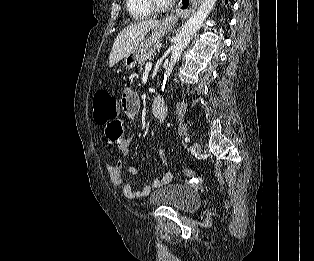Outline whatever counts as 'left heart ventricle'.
Masks as SVG:
<instances>
[{"mask_svg":"<svg viewBox=\"0 0 314 261\" xmlns=\"http://www.w3.org/2000/svg\"><path fill=\"white\" fill-rule=\"evenodd\" d=\"M158 1H160L162 3L168 2V0H158Z\"/></svg>","mask_w":314,"mask_h":261,"instance_id":"b2bd125f","label":"left heart ventricle"}]
</instances>
